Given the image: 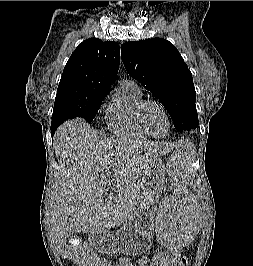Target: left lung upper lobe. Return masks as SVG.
<instances>
[{
  "label": "left lung upper lobe",
  "mask_w": 253,
  "mask_h": 266,
  "mask_svg": "<svg viewBox=\"0 0 253 266\" xmlns=\"http://www.w3.org/2000/svg\"><path fill=\"white\" fill-rule=\"evenodd\" d=\"M121 57L129 75L159 99L178 131L198 126L192 73L174 45L160 38L126 42Z\"/></svg>",
  "instance_id": "left-lung-upper-lobe-1"
}]
</instances>
